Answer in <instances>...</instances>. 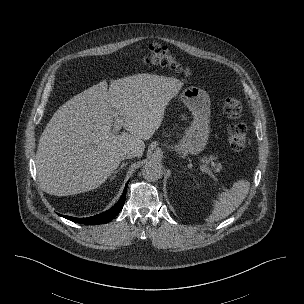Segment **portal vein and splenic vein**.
Masks as SVG:
<instances>
[{
  "label": "portal vein and splenic vein",
  "instance_id": "18ae733b",
  "mask_svg": "<svg viewBox=\"0 0 304 304\" xmlns=\"http://www.w3.org/2000/svg\"><path fill=\"white\" fill-rule=\"evenodd\" d=\"M113 117L115 120H114L112 131H113V133H118L122 127L123 120L120 117H118V114L116 112H113ZM201 170L209 173L215 181L217 180L215 175L212 174L206 166H201ZM224 190H227V189H224Z\"/></svg>",
  "mask_w": 304,
  "mask_h": 304
}]
</instances>
